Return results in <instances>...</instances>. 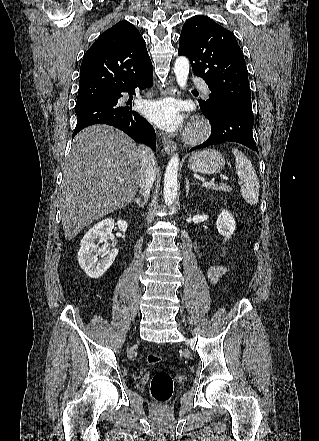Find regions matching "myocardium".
Returning a JSON list of instances; mask_svg holds the SVG:
<instances>
[{
    "instance_id": "myocardium-1",
    "label": "myocardium",
    "mask_w": 319,
    "mask_h": 441,
    "mask_svg": "<svg viewBox=\"0 0 319 441\" xmlns=\"http://www.w3.org/2000/svg\"><path fill=\"white\" fill-rule=\"evenodd\" d=\"M210 132L209 124L205 121L199 120L194 122L186 135V140L189 143H198L204 140Z\"/></svg>"
}]
</instances>
